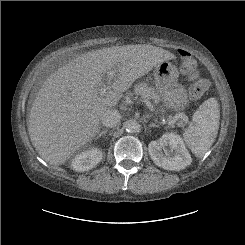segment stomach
Listing matches in <instances>:
<instances>
[{
    "instance_id": "stomach-1",
    "label": "stomach",
    "mask_w": 245,
    "mask_h": 245,
    "mask_svg": "<svg viewBox=\"0 0 245 245\" xmlns=\"http://www.w3.org/2000/svg\"><path fill=\"white\" fill-rule=\"evenodd\" d=\"M154 82L159 98L172 111L184 110L188 104V94L178 83L179 72L175 65L164 61L154 68Z\"/></svg>"
}]
</instances>
